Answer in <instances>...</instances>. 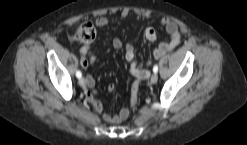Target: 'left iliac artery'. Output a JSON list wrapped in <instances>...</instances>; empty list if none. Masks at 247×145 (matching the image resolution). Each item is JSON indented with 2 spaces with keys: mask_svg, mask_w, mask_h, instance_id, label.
Masks as SVG:
<instances>
[{
  "mask_svg": "<svg viewBox=\"0 0 247 145\" xmlns=\"http://www.w3.org/2000/svg\"><path fill=\"white\" fill-rule=\"evenodd\" d=\"M153 72H154V73H157V72H158V66H157V65H154V67H153Z\"/></svg>",
  "mask_w": 247,
  "mask_h": 145,
  "instance_id": "1",
  "label": "left iliac artery"
}]
</instances>
